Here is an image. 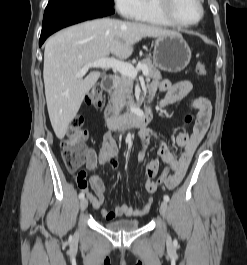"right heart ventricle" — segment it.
<instances>
[{
  "label": "right heart ventricle",
  "instance_id": "obj_1",
  "mask_svg": "<svg viewBox=\"0 0 247 265\" xmlns=\"http://www.w3.org/2000/svg\"><path fill=\"white\" fill-rule=\"evenodd\" d=\"M136 20L147 22L159 26H173L169 21L159 12L157 8V0H142L141 10Z\"/></svg>",
  "mask_w": 247,
  "mask_h": 265
}]
</instances>
